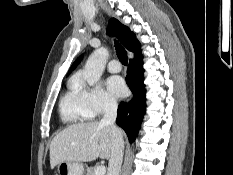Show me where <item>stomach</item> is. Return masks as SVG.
<instances>
[{
  "label": "stomach",
  "instance_id": "0dacf381",
  "mask_svg": "<svg viewBox=\"0 0 233 175\" xmlns=\"http://www.w3.org/2000/svg\"><path fill=\"white\" fill-rule=\"evenodd\" d=\"M57 170L59 175H83L84 165L80 162H61Z\"/></svg>",
  "mask_w": 233,
  "mask_h": 175
}]
</instances>
